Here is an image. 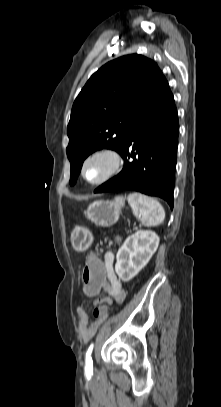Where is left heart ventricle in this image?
<instances>
[{
	"instance_id": "b2bd125f",
	"label": "left heart ventricle",
	"mask_w": 221,
	"mask_h": 407,
	"mask_svg": "<svg viewBox=\"0 0 221 407\" xmlns=\"http://www.w3.org/2000/svg\"><path fill=\"white\" fill-rule=\"evenodd\" d=\"M111 167V161L107 157L92 159L85 168V176L88 180L96 181L103 177Z\"/></svg>"
}]
</instances>
